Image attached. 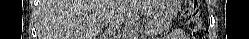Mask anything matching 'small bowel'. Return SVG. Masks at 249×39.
<instances>
[{
  "instance_id": "obj_1",
  "label": "small bowel",
  "mask_w": 249,
  "mask_h": 39,
  "mask_svg": "<svg viewBox=\"0 0 249 39\" xmlns=\"http://www.w3.org/2000/svg\"><path fill=\"white\" fill-rule=\"evenodd\" d=\"M171 37H173L174 39H180L183 38V33L179 30H175L173 31L171 34Z\"/></svg>"
}]
</instances>
